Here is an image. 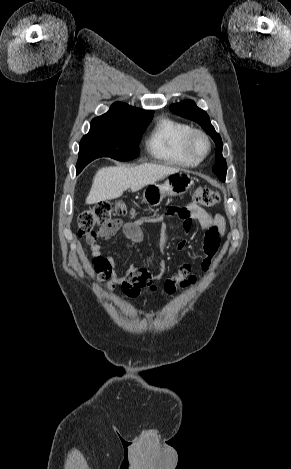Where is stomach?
Masks as SVG:
<instances>
[{"label": "stomach", "mask_w": 291, "mask_h": 469, "mask_svg": "<svg viewBox=\"0 0 291 469\" xmlns=\"http://www.w3.org/2000/svg\"><path fill=\"white\" fill-rule=\"evenodd\" d=\"M193 183V178L187 172L174 173L163 184H149L143 192V201L158 206L166 196L184 194Z\"/></svg>", "instance_id": "obj_1"}]
</instances>
